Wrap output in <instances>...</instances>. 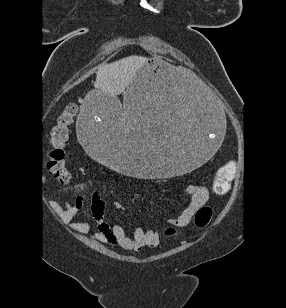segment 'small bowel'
<instances>
[{
  "label": "small bowel",
  "mask_w": 286,
  "mask_h": 308,
  "mask_svg": "<svg viewBox=\"0 0 286 308\" xmlns=\"http://www.w3.org/2000/svg\"><path fill=\"white\" fill-rule=\"evenodd\" d=\"M186 193L190 196L189 204L179 216L169 221V223L175 227L183 228L187 226L195 212L203 206L209 198L208 189L205 186L197 184H189L186 187ZM84 201L85 196L80 195L76 199L74 205L63 206L55 203L54 207L65 222H71L83 207ZM113 206L118 210L124 209V205L118 201H115ZM91 212L94 220L98 222V230L95 233V237L101 242L120 246L129 251H139L144 247L154 248L158 246L160 242V234L154 230H145L141 227H137L132 237H130L125 234L124 229L120 225H108L103 220L104 201L98 191L93 192ZM71 227L78 233H87L91 225L87 221H81L71 223Z\"/></svg>",
  "instance_id": "obj_1"
}]
</instances>
